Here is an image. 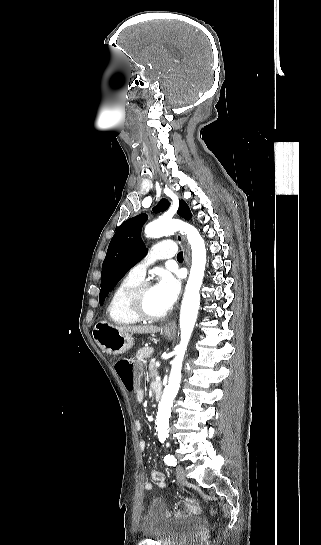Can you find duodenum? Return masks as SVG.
Segmentation results:
<instances>
[{"label":"duodenum","mask_w":321,"mask_h":545,"mask_svg":"<svg viewBox=\"0 0 321 545\" xmlns=\"http://www.w3.org/2000/svg\"><path fill=\"white\" fill-rule=\"evenodd\" d=\"M156 399H160L162 394V386L160 382H155L152 386Z\"/></svg>","instance_id":"obj_1"}]
</instances>
